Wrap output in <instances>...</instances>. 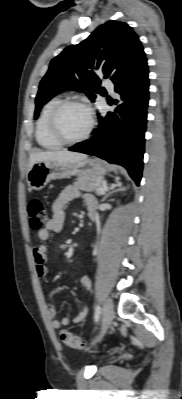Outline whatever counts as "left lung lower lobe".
<instances>
[{"label": "left lung lower lobe", "mask_w": 182, "mask_h": 399, "mask_svg": "<svg viewBox=\"0 0 182 399\" xmlns=\"http://www.w3.org/2000/svg\"><path fill=\"white\" fill-rule=\"evenodd\" d=\"M147 61L142 63L126 80L115 85L118 98L113 112L98 116L99 126L93 137L77 143L70 151L82 152L102 158L109 163L125 167L139 185L144 155V134L149 101Z\"/></svg>", "instance_id": "1"}]
</instances>
